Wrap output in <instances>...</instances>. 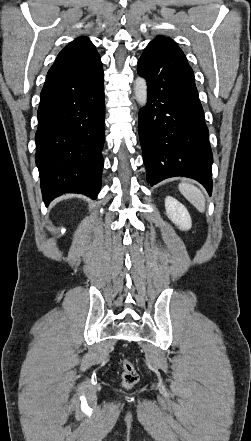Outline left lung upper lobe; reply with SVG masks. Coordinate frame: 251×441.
<instances>
[{"label": "left lung upper lobe", "instance_id": "left-lung-upper-lobe-1", "mask_svg": "<svg viewBox=\"0 0 251 441\" xmlns=\"http://www.w3.org/2000/svg\"><path fill=\"white\" fill-rule=\"evenodd\" d=\"M149 46H155V47H163V48H168V49H172L175 50L179 53H182V50L176 45V43L167 37L164 36H158L156 37L153 41H151L149 44Z\"/></svg>", "mask_w": 251, "mask_h": 441}]
</instances>
